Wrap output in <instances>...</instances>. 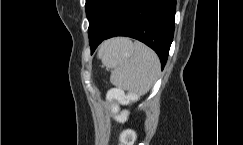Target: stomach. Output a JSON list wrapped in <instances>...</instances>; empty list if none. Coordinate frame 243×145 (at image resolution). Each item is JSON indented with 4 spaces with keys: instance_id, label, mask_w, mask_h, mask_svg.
<instances>
[{
    "instance_id": "stomach-1",
    "label": "stomach",
    "mask_w": 243,
    "mask_h": 145,
    "mask_svg": "<svg viewBox=\"0 0 243 145\" xmlns=\"http://www.w3.org/2000/svg\"><path fill=\"white\" fill-rule=\"evenodd\" d=\"M132 43L128 39L116 38L106 42L99 50V57L102 59L106 56L109 64L108 67H113L119 61L125 60L132 55Z\"/></svg>"
}]
</instances>
